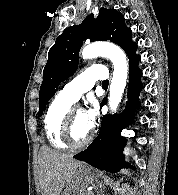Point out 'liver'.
Segmentation results:
<instances>
[{
	"label": "liver",
	"mask_w": 178,
	"mask_h": 195,
	"mask_svg": "<svg viewBox=\"0 0 178 195\" xmlns=\"http://www.w3.org/2000/svg\"><path fill=\"white\" fill-rule=\"evenodd\" d=\"M81 163L71 155L46 146L39 152V184L42 195H60Z\"/></svg>",
	"instance_id": "1"
}]
</instances>
